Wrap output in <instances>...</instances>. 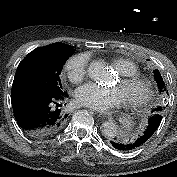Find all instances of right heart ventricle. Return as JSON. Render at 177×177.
Returning <instances> with one entry per match:
<instances>
[{"instance_id":"e07e8e85","label":"right heart ventricle","mask_w":177,"mask_h":177,"mask_svg":"<svg viewBox=\"0 0 177 177\" xmlns=\"http://www.w3.org/2000/svg\"><path fill=\"white\" fill-rule=\"evenodd\" d=\"M113 66L121 76H131L139 73L137 64L128 59H116L113 61Z\"/></svg>"}]
</instances>
